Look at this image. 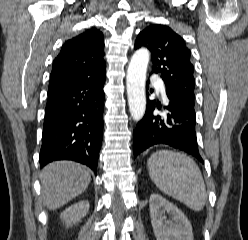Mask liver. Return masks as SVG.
Listing matches in <instances>:
<instances>
[{
  "mask_svg": "<svg viewBox=\"0 0 248 240\" xmlns=\"http://www.w3.org/2000/svg\"><path fill=\"white\" fill-rule=\"evenodd\" d=\"M40 181L43 204L50 210H56L87 189L91 172L75 162L57 161L42 169Z\"/></svg>",
  "mask_w": 248,
  "mask_h": 240,
  "instance_id": "liver-1",
  "label": "liver"
}]
</instances>
